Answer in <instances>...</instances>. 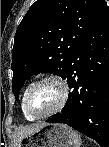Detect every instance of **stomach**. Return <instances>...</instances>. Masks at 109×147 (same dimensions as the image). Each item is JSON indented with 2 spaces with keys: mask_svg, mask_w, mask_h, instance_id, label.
<instances>
[{
  "mask_svg": "<svg viewBox=\"0 0 109 147\" xmlns=\"http://www.w3.org/2000/svg\"><path fill=\"white\" fill-rule=\"evenodd\" d=\"M72 145L73 131L64 124H46L20 142V147H71Z\"/></svg>",
  "mask_w": 109,
  "mask_h": 147,
  "instance_id": "0dacf381",
  "label": "stomach"
}]
</instances>
